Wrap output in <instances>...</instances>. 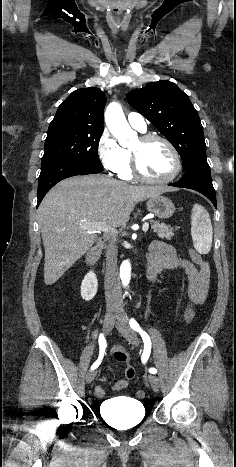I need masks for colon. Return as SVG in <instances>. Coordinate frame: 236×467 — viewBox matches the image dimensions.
Segmentation results:
<instances>
[{
  "instance_id": "1",
  "label": "colon",
  "mask_w": 236,
  "mask_h": 467,
  "mask_svg": "<svg viewBox=\"0 0 236 467\" xmlns=\"http://www.w3.org/2000/svg\"><path fill=\"white\" fill-rule=\"evenodd\" d=\"M189 255L192 259V261L197 265V266H200L202 263H203V260L200 256V254L194 250L193 248H191L189 250ZM194 318V311L192 309V307H188L185 311V320L187 323H190L192 322ZM115 359L119 360V361H124L126 359V355L122 352H117L116 355H115ZM138 396L139 397H143L144 396V392L143 391H139L138 392Z\"/></svg>"
}]
</instances>
